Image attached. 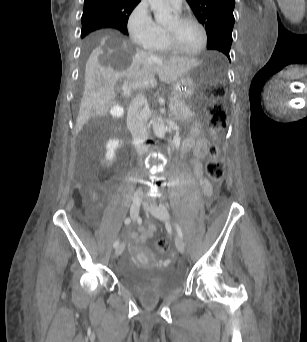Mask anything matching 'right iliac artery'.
I'll return each instance as SVG.
<instances>
[{
	"label": "right iliac artery",
	"instance_id": "obj_1",
	"mask_svg": "<svg viewBox=\"0 0 307 342\" xmlns=\"http://www.w3.org/2000/svg\"><path fill=\"white\" fill-rule=\"evenodd\" d=\"M124 222H125V224H130L131 218L130 217L126 218ZM118 246H119V240H116L113 244V247L116 248Z\"/></svg>",
	"mask_w": 307,
	"mask_h": 342
}]
</instances>
